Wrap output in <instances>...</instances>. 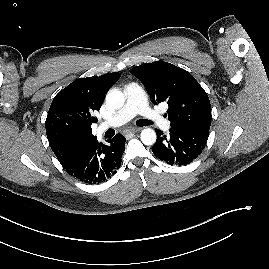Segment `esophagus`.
Returning <instances> with one entry per match:
<instances>
[{
    "label": "esophagus",
    "mask_w": 269,
    "mask_h": 269,
    "mask_svg": "<svg viewBox=\"0 0 269 269\" xmlns=\"http://www.w3.org/2000/svg\"><path fill=\"white\" fill-rule=\"evenodd\" d=\"M139 131H140L139 128H132V129L127 130L126 133L127 134H134V133H137Z\"/></svg>",
    "instance_id": "esophagus-1"
}]
</instances>
